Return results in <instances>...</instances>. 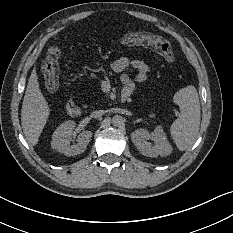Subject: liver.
<instances>
[{
  "label": "liver",
  "mask_w": 233,
  "mask_h": 233,
  "mask_svg": "<svg viewBox=\"0 0 233 233\" xmlns=\"http://www.w3.org/2000/svg\"><path fill=\"white\" fill-rule=\"evenodd\" d=\"M50 115V107L41 92L36 68L28 79L21 107L23 132L32 145L38 143L39 136Z\"/></svg>",
  "instance_id": "6515ba94"
}]
</instances>
